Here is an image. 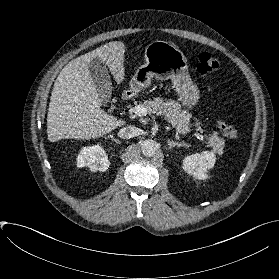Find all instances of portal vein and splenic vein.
<instances>
[{"instance_id": "18ae733b", "label": "portal vein and splenic vein", "mask_w": 279, "mask_h": 279, "mask_svg": "<svg viewBox=\"0 0 279 279\" xmlns=\"http://www.w3.org/2000/svg\"><path fill=\"white\" fill-rule=\"evenodd\" d=\"M131 110H132L133 113H135L138 116H146L148 114V110L145 107H143L142 105H136ZM194 135L200 141H202V142L204 141V136L203 135H201L199 133H194Z\"/></svg>"}]
</instances>
